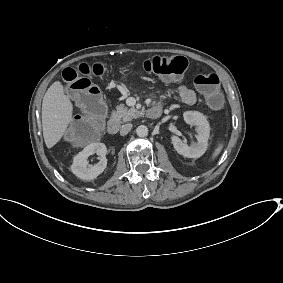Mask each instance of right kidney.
<instances>
[{
	"instance_id": "right-kidney-1",
	"label": "right kidney",
	"mask_w": 283,
	"mask_h": 283,
	"mask_svg": "<svg viewBox=\"0 0 283 283\" xmlns=\"http://www.w3.org/2000/svg\"><path fill=\"white\" fill-rule=\"evenodd\" d=\"M107 148L103 143H91L79 152L73 159L71 171L83 180H92L101 174L107 166ZM97 154L99 162L93 166H88V157Z\"/></svg>"
}]
</instances>
